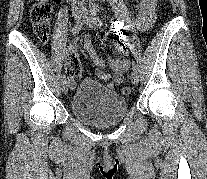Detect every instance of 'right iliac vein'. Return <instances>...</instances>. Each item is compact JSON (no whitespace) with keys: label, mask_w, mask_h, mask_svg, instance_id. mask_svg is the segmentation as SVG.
<instances>
[{"label":"right iliac vein","mask_w":207,"mask_h":179,"mask_svg":"<svg viewBox=\"0 0 207 179\" xmlns=\"http://www.w3.org/2000/svg\"><path fill=\"white\" fill-rule=\"evenodd\" d=\"M73 17L75 18L76 21H79L82 17V13L81 12H74ZM69 86L70 85L68 83L64 82L62 85V92L66 94L68 92Z\"/></svg>","instance_id":"right-iliac-vein-1"}]
</instances>
